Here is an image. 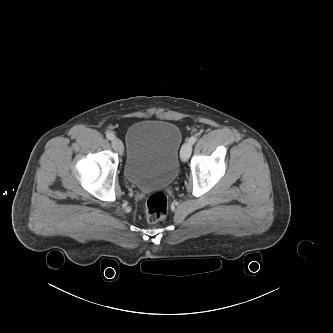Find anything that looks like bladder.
<instances>
[{"label":"bladder","mask_w":333,"mask_h":333,"mask_svg":"<svg viewBox=\"0 0 333 333\" xmlns=\"http://www.w3.org/2000/svg\"><path fill=\"white\" fill-rule=\"evenodd\" d=\"M181 128L166 120H142L129 127L123 171L127 181L148 191L169 186L179 172Z\"/></svg>","instance_id":"31cf9c89"}]
</instances>
